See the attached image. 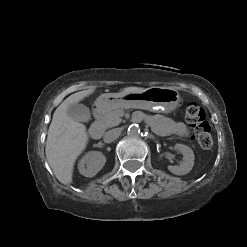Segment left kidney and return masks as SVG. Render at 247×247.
<instances>
[{
    "instance_id": "1",
    "label": "left kidney",
    "mask_w": 247,
    "mask_h": 247,
    "mask_svg": "<svg viewBox=\"0 0 247 247\" xmlns=\"http://www.w3.org/2000/svg\"><path fill=\"white\" fill-rule=\"evenodd\" d=\"M175 149L183 154V161L178 166H168V170L178 176L188 174L194 166L193 150L183 144H176Z\"/></svg>"
}]
</instances>
